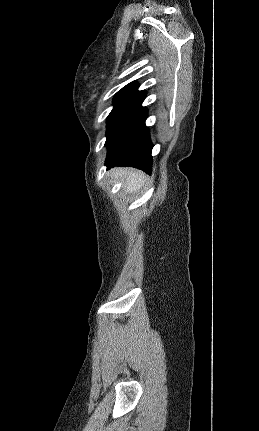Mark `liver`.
Returning <instances> with one entry per match:
<instances>
[{
    "mask_svg": "<svg viewBox=\"0 0 259 431\" xmlns=\"http://www.w3.org/2000/svg\"><path fill=\"white\" fill-rule=\"evenodd\" d=\"M114 172L124 180V188L127 193L136 192L147 180L145 174L134 169L118 168Z\"/></svg>",
    "mask_w": 259,
    "mask_h": 431,
    "instance_id": "1",
    "label": "liver"
}]
</instances>
